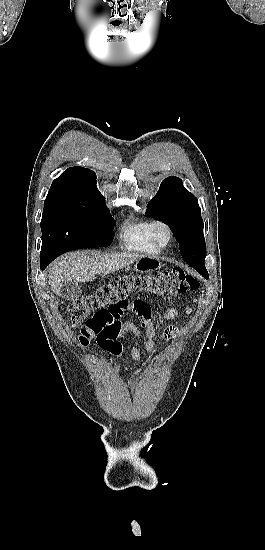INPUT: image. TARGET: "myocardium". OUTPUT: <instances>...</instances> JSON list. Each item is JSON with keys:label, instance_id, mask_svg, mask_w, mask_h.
<instances>
[{"label": "myocardium", "instance_id": "myocardium-1", "mask_svg": "<svg viewBox=\"0 0 265 550\" xmlns=\"http://www.w3.org/2000/svg\"><path fill=\"white\" fill-rule=\"evenodd\" d=\"M160 231H164L167 235L166 242L160 241L158 234ZM151 236L155 245L159 249L167 248L173 241V231L172 228L164 221H154L151 226Z\"/></svg>", "mask_w": 265, "mask_h": 550}]
</instances>
